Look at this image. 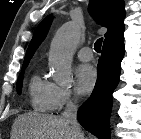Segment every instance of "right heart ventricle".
<instances>
[{"label":"right heart ventricle","instance_id":"obj_1","mask_svg":"<svg viewBox=\"0 0 141 139\" xmlns=\"http://www.w3.org/2000/svg\"><path fill=\"white\" fill-rule=\"evenodd\" d=\"M54 84L39 74H34L28 84V94L31 107L38 112L51 110Z\"/></svg>","mask_w":141,"mask_h":139}]
</instances>
